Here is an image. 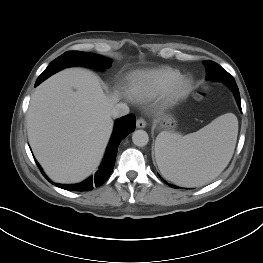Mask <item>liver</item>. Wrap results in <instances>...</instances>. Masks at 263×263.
Wrapping results in <instances>:
<instances>
[{
  "mask_svg": "<svg viewBox=\"0 0 263 263\" xmlns=\"http://www.w3.org/2000/svg\"><path fill=\"white\" fill-rule=\"evenodd\" d=\"M118 100L117 94L103 92L93 72L80 68L60 71L36 88L27 113L28 139L53 181L80 182L96 170Z\"/></svg>",
  "mask_w": 263,
  "mask_h": 263,
  "instance_id": "liver-1",
  "label": "liver"
}]
</instances>
